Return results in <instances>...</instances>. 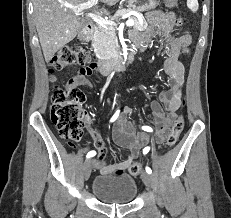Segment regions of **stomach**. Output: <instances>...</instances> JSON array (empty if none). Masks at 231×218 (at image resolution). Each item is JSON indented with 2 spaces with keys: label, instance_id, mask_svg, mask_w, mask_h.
I'll list each match as a JSON object with an SVG mask.
<instances>
[{
  "label": "stomach",
  "instance_id": "stomach-1",
  "mask_svg": "<svg viewBox=\"0 0 231 218\" xmlns=\"http://www.w3.org/2000/svg\"><path fill=\"white\" fill-rule=\"evenodd\" d=\"M159 4V0H129V6L138 12L154 9Z\"/></svg>",
  "mask_w": 231,
  "mask_h": 218
}]
</instances>
